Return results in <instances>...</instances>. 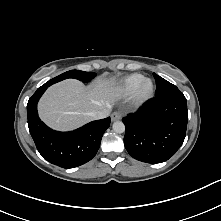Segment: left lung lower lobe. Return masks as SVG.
<instances>
[{
  "instance_id": "0a47b994",
  "label": "left lung lower lobe",
  "mask_w": 221,
  "mask_h": 221,
  "mask_svg": "<svg viewBox=\"0 0 221 221\" xmlns=\"http://www.w3.org/2000/svg\"><path fill=\"white\" fill-rule=\"evenodd\" d=\"M187 121V101L182 92L156 96L123 118L125 148L139 161L164 162L182 145Z\"/></svg>"
}]
</instances>
